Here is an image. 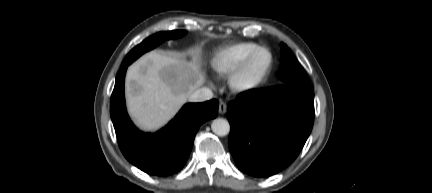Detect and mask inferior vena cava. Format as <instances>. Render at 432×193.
Returning a JSON list of instances; mask_svg holds the SVG:
<instances>
[{
	"label": "inferior vena cava",
	"mask_w": 432,
	"mask_h": 193,
	"mask_svg": "<svg viewBox=\"0 0 432 193\" xmlns=\"http://www.w3.org/2000/svg\"><path fill=\"white\" fill-rule=\"evenodd\" d=\"M213 98V92L209 88H199L193 92L189 100L191 102H204Z\"/></svg>",
	"instance_id": "obj_1"
}]
</instances>
